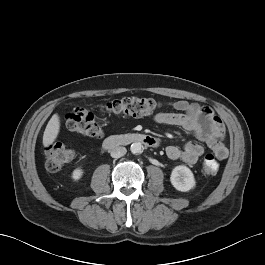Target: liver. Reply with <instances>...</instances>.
Wrapping results in <instances>:
<instances>
[{
    "label": "liver",
    "mask_w": 265,
    "mask_h": 265,
    "mask_svg": "<svg viewBox=\"0 0 265 265\" xmlns=\"http://www.w3.org/2000/svg\"><path fill=\"white\" fill-rule=\"evenodd\" d=\"M60 130V119L57 114H54L49 120L43 134V145L48 147L57 138Z\"/></svg>",
    "instance_id": "1"
}]
</instances>
